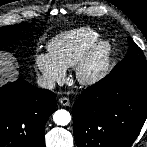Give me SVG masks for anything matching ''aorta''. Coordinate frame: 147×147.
Listing matches in <instances>:
<instances>
[{
    "label": "aorta",
    "mask_w": 147,
    "mask_h": 147,
    "mask_svg": "<svg viewBox=\"0 0 147 147\" xmlns=\"http://www.w3.org/2000/svg\"><path fill=\"white\" fill-rule=\"evenodd\" d=\"M53 120L57 125L66 126L71 121L70 113L64 109L57 110L53 115Z\"/></svg>",
    "instance_id": "obj_1"
}]
</instances>
